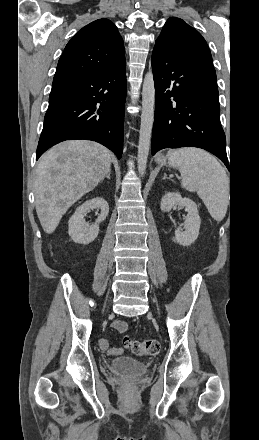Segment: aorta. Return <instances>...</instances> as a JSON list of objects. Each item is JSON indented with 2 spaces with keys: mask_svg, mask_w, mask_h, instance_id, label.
Masks as SVG:
<instances>
[{
  "mask_svg": "<svg viewBox=\"0 0 259 440\" xmlns=\"http://www.w3.org/2000/svg\"><path fill=\"white\" fill-rule=\"evenodd\" d=\"M155 86L152 72L145 75L142 89V114L138 145V172L145 174L147 158L150 150V137L154 122Z\"/></svg>",
  "mask_w": 259,
  "mask_h": 440,
  "instance_id": "obj_1",
  "label": "aorta"
}]
</instances>
